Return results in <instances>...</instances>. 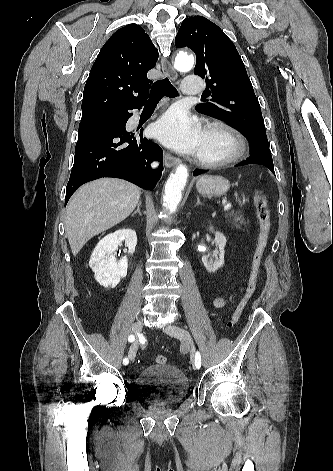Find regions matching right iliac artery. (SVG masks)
<instances>
[{
  "label": "right iliac artery",
  "instance_id": "1",
  "mask_svg": "<svg viewBox=\"0 0 333 471\" xmlns=\"http://www.w3.org/2000/svg\"><path fill=\"white\" fill-rule=\"evenodd\" d=\"M134 340H135V336H134V335H130V336L128 337V341H129V342H134ZM128 363H129L128 358H124V359H123V364H124V365H127Z\"/></svg>",
  "mask_w": 333,
  "mask_h": 471
}]
</instances>
